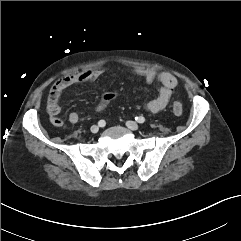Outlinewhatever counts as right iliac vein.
I'll return each mask as SVG.
<instances>
[{
    "label": "right iliac vein",
    "mask_w": 241,
    "mask_h": 241,
    "mask_svg": "<svg viewBox=\"0 0 241 241\" xmlns=\"http://www.w3.org/2000/svg\"><path fill=\"white\" fill-rule=\"evenodd\" d=\"M90 130H91L92 133L95 134L99 131V127L97 125H93Z\"/></svg>",
    "instance_id": "1"
}]
</instances>
